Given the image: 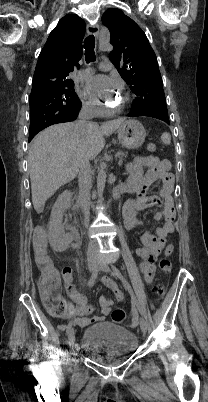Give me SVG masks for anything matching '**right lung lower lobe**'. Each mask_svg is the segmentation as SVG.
Returning a JSON list of instances; mask_svg holds the SVG:
<instances>
[{
  "instance_id": "1",
  "label": "right lung lower lobe",
  "mask_w": 208,
  "mask_h": 402,
  "mask_svg": "<svg viewBox=\"0 0 208 402\" xmlns=\"http://www.w3.org/2000/svg\"><path fill=\"white\" fill-rule=\"evenodd\" d=\"M80 107L75 110L74 112H67V113H59V114H47L42 115L39 117H34L31 119L30 124V135H29V142L33 139V137L43 130L44 128L62 122H70L77 118Z\"/></svg>"
}]
</instances>
